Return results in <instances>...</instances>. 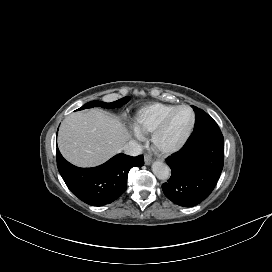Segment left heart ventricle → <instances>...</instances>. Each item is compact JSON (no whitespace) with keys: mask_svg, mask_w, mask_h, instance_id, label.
<instances>
[{"mask_svg":"<svg viewBox=\"0 0 272 272\" xmlns=\"http://www.w3.org/2000/svg\"><path fill=\"white\" fill-rule=\"evenodd\" d=\"M190 121L191 113L188 110L182 109L177 111L167 126L163 141L169 144L176 142L184 134Z\"/></svg>","mask_w":272,"mask_h":272,"instance_id":"1","label":"left heart ventricle"}]
</instances>
